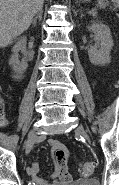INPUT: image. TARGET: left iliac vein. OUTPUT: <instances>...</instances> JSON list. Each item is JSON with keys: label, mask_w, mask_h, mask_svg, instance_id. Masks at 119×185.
<instances>
[{"label": "left iliac vein", "mask_w": 119, "mask_h": 185, "mask_svg": "<svg viewBox=\"0 0 119 185\" xmlns=\"http://www.w3.org/2000/svg\"><path fill=\"white\" fill-rule=\"evenodd\" d=\"M76 133H78V134L84 136L88 141H90L87 132L85 131V129H84L81 125H79V126L77 127Z\"/></svg>", "instance_id": "left-iliac-vein-1"}]
</instances>
